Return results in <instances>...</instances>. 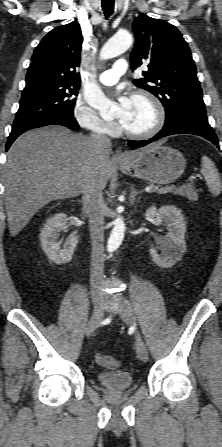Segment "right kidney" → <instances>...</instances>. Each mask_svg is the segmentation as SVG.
Instances as JSON below:
<instances>
[{
    "label": "right kidney",
    "instance_id": "right-kidney-1",
    "mask_svg": "<svg viewBox=\"0 0 222 447\" xmlns=\"http://www.w3.org/2000/svg\"><path fill=\"white\" fill-rule=\"evenodd\" d=\"M67 216L58 213L49 218L40 233V242L43 251L48 258L56 264H65L71 261L74 250L78 244V238L71 235L66 240V246L61 249L59 233L67 229Z\"/></svg>",
    "mask_w": 222,
    "mask_h": 447
}]
</instances>
